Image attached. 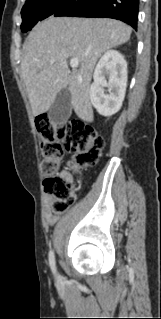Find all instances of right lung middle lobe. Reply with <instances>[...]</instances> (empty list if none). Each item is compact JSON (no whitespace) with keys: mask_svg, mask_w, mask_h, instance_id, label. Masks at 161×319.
Returning a JSON list of instances; mask_svg holds the SVG:
<instances>
[{"mask_svg":"<svg viewBox=\"0 0 161 319\" xmlns=\"http://www.w3.org/2000/svg\"><path fill=\"white\" fill-rule=\"evenodd\" d=\"M86 0H26L22 8V32H27L33 26L51 15L65 16L78 8Z\"/></svg>","mask_w":161,"mask_h":319,"instance_id":"right-lung-middle-lobe-1","label":"right lung middle lobe"}]
</instances>
